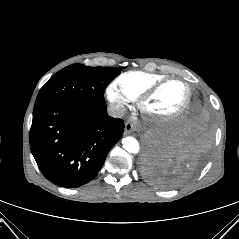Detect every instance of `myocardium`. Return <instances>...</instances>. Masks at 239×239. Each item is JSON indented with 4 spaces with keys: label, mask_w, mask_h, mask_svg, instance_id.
Wrapping results in <instances>:
<instances>
[{
    "label": "myocardium",
    "mask_w": 239,
    "mask_h": 239,
    "mask_svg": "<svg viewBox=\"0 0 239 239\" xmlns=\"http://www.w3.org/2000/svg\"><path fill=\"white\" fill-rule=\"evenodd\" d=\"M172 82H180L182 84L185 85L186 89H187V96L186 99L184 101V103L182 104V106L176 110L173 113L170 114H154L151 113L148 110V103L169 83ZM191 99H192V88L191 85L179 78H173V77H168L166 79H163L162 81L156 83L155 85H153L152 87H150L141 97L139 100V107L141 112L151 121H155V122H162V121H170V120H174L179 118L181 115H183L185 113V111L188 109L190 103H191Z\"/></svg>",
    "instance_id": "myocardium-1"
}]
</instances>
